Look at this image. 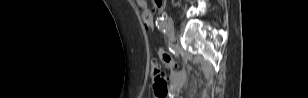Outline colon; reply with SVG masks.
<instances>
[{
  "label": "colon",
  "mask_w": 308,
  "mask_h": 98,
  "mask_svg": "<svg viewBox=\"0 0 308 98\" xmlns=\"http://www.w3.org/2000/svg\"><path fill=\"white\" fill-rule=\"evenodd\" d=\"M156 2H160V0H156ZM138 13L140 16H144V29L146 31H155V24H151V22L154 20V17L150 15L151 11L149 9H140ZM160 59L166 67H176V63L171 55L162 53L160 55ZM152 76L155 95L160 98L165 97L167 95V82L156 61H153L152 64Z\"/></svg>",
  "instance_id": "colon-1"
}]
</instances>
